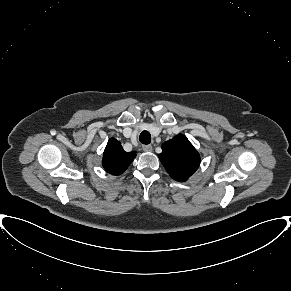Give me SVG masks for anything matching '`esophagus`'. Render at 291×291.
Listing matches in <instances>:
<instances>
[{
	"mask_svg": "<svg viewBox=\"0 0 291 291\" xmlns=\"http://www.w3.org/2000/svg\"><path fill=\"white\" fill-rule=\"evenodd\" d=\"M142 149H143L145 152H151V151H152V146H151V145H143V146H142Z\"/></svg>",
	"mask_w": 291,
	"mask_h": 291,
	"instance_id": "obj_1",
	"label": "esophagus"
}]
</instances>
